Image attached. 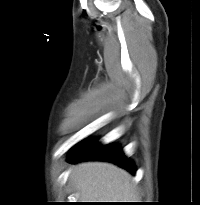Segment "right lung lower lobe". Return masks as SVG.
Listing matches in <instances>:
<instances>
[{"label": "right lung lower lobe", "instance_id": "98d812e1", "mask_svg": "<svg viewBox=\"0 0 200 205\" xmlns=\"http://www.w3.org/2000/svg\"><path fill=\"white\" fill-rule=\"evenodd\" d=\"M85 160L108 161L135 173L134 165L126 159L118 145L102 146L98 143H91L89 140L78 144L70 154L68 161L76 163Z\"/></svg>", "mask_w": 200, "mask_h": 205}]
</instances>
